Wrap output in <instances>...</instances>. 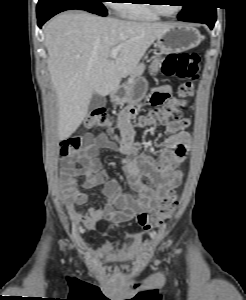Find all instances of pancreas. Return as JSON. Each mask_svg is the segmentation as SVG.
<instances>
[{
  "mask_svg": "<svg viewBox=\"0 0 246 300\" xmlns=\"http://www.w3.org/2000/svg\"><path fill=\"white\" fill-rule=\"evenodd\" d=\"M144 70L145 65L143 63L137 65L136 68L130 74V77L128 78L127 82L124 84V87H130L134 83L135 79L143 74Z\"/></svg>",
  "mask_w": 246,
  "mask_h": 300,
  "instance_id": "obj_1",
  "label": "pancreas"
}]
</instances>
